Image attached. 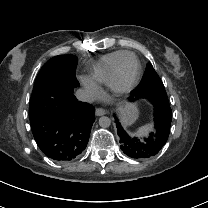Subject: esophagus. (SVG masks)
Returning a JSON list of instances; mask_svg holds the SVG:
<instances>
[{
    "label": "esophagus",
    "instance_id": "1",
    "mask_svg": "<svg viewBox=\"0 0 208 208\" xmlns=\"http://www.w3.org/2000/svg\"><path fill=\"white\" fill-rule=\"evenodd\" d=\"M95 113H96L97 116H102V115H105L107 113V111L105 109H102V108H97Z\"/></svg>",
    "mask_w": 208,
    "mask_h": 208
}]
</instances>
